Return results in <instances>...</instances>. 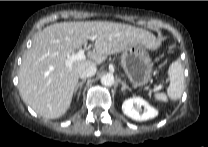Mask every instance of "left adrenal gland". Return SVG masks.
Instances as JSON below:
<instances>
[{
  "mask_svg": "<svg viewBox=\"0 0 208 147\" xmlns=\"http://www.w3.org/2000/svg\"><path fill=\"white\" fill-rule=\"evenodd\" d=\"M121 84H122V87H121V91H122V92L125 91V90L131 91V88L128 87L124 81H122Z\"/></svg>",
  "mask_w": 208,
  "mask_h": 147,
  "instance_id": "1",
  "label": "left adrenal gland"
}]
</instances>
